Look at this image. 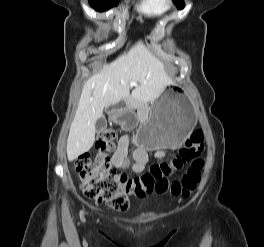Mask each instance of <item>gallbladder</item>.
Segmentation results:
<instances>
[{"label":"gallbladder","instance_id":"gallbladder-1","mask_svg":"<svg viewBox=\"0 0 264 247\" xmlns=\"http://www.w3.org/2000/svg\"><path fill=\"white\" fill-rule=\"evenodd\" d=\"M106 123L107 122H106L104 116H102L99 119H97L95 121V126H94V127H96V131H97L96 133H99L100 131H102V129L105 128Z\"/></svg>","mask_w":264,"mask_h":247}]
</instances>
